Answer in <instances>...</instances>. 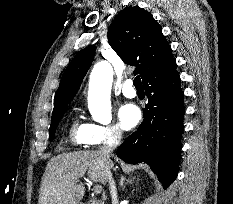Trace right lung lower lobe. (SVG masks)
Wrapping results in <instances>:
<instances>
[{
    "mask_svg": "<svg viewBox=\"0 0 233 204\" xmlns=\"http://www.w3.org/2000/svg\"><path fill=\"white\" fill-rule=\"evenodd\" d=\"M176 63L150 76L145 82L148 103L144 120L117 149L126 163H147L164 188L177 177L181 133L184 129V93Z\"/></svg>",
    "mask_w": 233,
    "mask_h": 204,
    "instance_id": "obj_1",
    "label": "right lung lower lobe"
}]
</instances>
